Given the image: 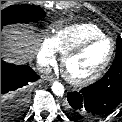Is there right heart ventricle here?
<instances>
[{
    "label": "right heart ventricle",
    "instance_id": "right-heart-ventricle-1",
    "mask_svg": "<svg viewBox=\"0 0 122 122\" xmlns=\"http://www.w3.org/2000/svg\"><path fill=\"white\" fill-rule=\"evenodd\" d=\"M102 35L104 33L96 25L80 23L56 30L51 39L56 51L64 55L85 40Z\"/></svg>",
    "mask_w": 122,
    "mask_h": 122
}]
</instances>
